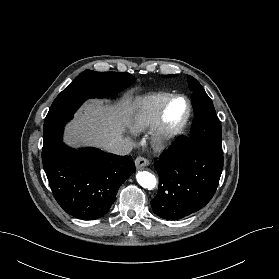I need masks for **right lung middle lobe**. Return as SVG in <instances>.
<instances>
[{
	"label": "right lung middle lobe",
	"mask_w": 279,
	"mask_h": 279,
	"mask_svg": "<svg viewBox=\"0 0 279 279\" xmlns=\"http://www.w3.org/2000/svg\"><path fill=\"white\" fill-rule=\"evenodd\" d=\"M126 72H95L85 70L80 73L54 100L44 120L42 161H45L62 143L64 125L72 119L74 112L88 98L95 95L115 97L134 81Z\"/></svg>",
	"instance_id": "1"
}]
</instances>
